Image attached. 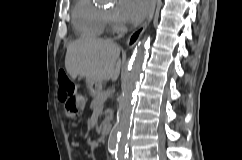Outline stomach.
Listing matches in <instances>:
<instances>
[{"label": "stomach", "mask_w": 242, "mask_h": 160, "mask_svg": "<svg viewBox=\"0 0 242 160\" xmlns=\"http://www.w3.org/2000/svg\"><path fill=\"white\" fill-rule=\"evenodd\" d=\"M87 89L91 96H96L102 90V82L94 80H86Z\"/></svg>", "instance_id": "0dacf381"}]
</instances>
